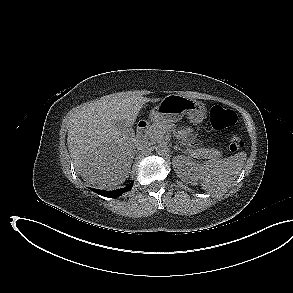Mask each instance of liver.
<instances>
[{
  "instance_id": "6515ba94",
  "label": "liver",
  "mask_w": 293,
  "mask_h": 293,
  "mask_svg": "<svg viewBox=\"0 0 293 293\" xmlns=\"http://www.w3.org/2000/svg\"><path fill=\"white\" fill-rule=\"evenodd\" d=\"M149 101H159L129 92L114 93L85 103L71 115L67 145L77 172L101 188L122 184L129 175L136 139L115 126H132Z\"/></svg>"
}]
</instances>
